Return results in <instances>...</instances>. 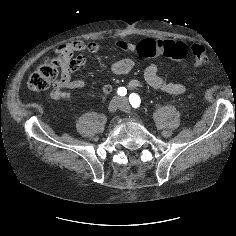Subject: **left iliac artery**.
Returning a JSON list of instances; mask_svg holds the SVG:
<instances>
[{
  "instance_id": "obj_1",
  "label": "left iliac artery",
  "mask_w": 236,
  "mask_h": 236,
  "mask_svg": "<svg viewBox=\"0 0 236 236\" xmlns=\"http://www.w3.org/2000/svg\"><path fill=\"white\" fill-rule=\"evenodd\" d=\"M129 102L134 108H138L141 103L140 97L136 93H131L129 96Z\"/></svg>"
}]
</instances>
